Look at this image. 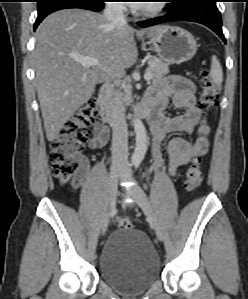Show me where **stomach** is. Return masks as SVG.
Wrapping results in <instances>:
<instances>
[{"instance_id":"stomach-1","label":"stomach","mask_w":248,"mask_h":299,"mask_svg":"<svg viewBox=\"0 0 248 299\" xmlns=\"http://www.w3.org/2000/svg\"><path fill=\"white\" fill-rule=\"evenodd\" d=\"M150 44L161 60L170 64H181L190 60L197 51L193 35L177 26H162L150 39Z\"/></svg>"}]
</instances>
